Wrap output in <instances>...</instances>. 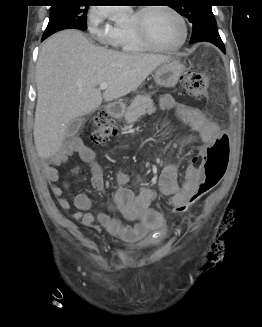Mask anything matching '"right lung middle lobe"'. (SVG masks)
I'll return each mask as SVG.
<instances>
[{"label": "right lung middle lobe", "instance_id": "obj_1", "mask_svg": "<svg viewBox=\"0 0 262 327\" xmlns=\"http://www.w3.org/2000/svg\"><path fill=\"white\" fill-rule=\"evenodd\" d=\"M50 10V19L43 37L63 29H86L88 6H80L77 0H56Z\"/></svg>", "mask_w": 262, "mask_h": 327}]
</instances>
